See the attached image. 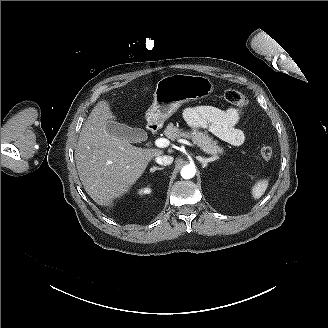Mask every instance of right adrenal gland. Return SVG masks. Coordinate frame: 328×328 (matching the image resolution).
Here are the masks:
<instances>
[{"label": "right adrenal gland", "mask_w": 328, "mask_h": 328, "mask_svg": "<svg viewBox=\"0 0 328 328\" xmlns=\"http://www.w3.org/2000/svg\"><path fill=\"white\" fill-rule=\"evenodd\" d=\"M156 169H159V170H161V169H163V168H157V167H156Z\"/></svg>", "instance_id": "right-adrenal-gland-1"}]
</instances>
